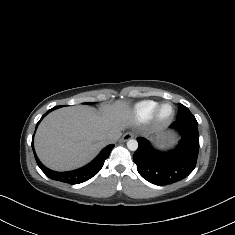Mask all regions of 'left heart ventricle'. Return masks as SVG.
<instances>
[{
  "instance_id": "b2bd125f",
  "label": "left heart ventricle",
  "mask_w": 235,
  "mask_h": 235,
  "mask_svg": "<svg viewBox=\"0 0 235 235\" xmlns=\"http://www.w3.org/2000/svg\"><path fill=\"white\" fill-rule=\"evenodd\" d=\"M173 113V107L171 104L164 105L161 110L160 114L163 118H169Z\"/></svg>"
}]
</instances>
